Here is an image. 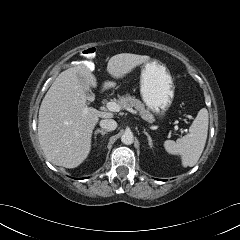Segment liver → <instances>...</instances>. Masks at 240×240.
Masks as SVG:
<instances>
[{"mask_svg": "<svg viewBox=\"0 0 240 240\" xmlns=\"http://www.w3.org/2000/svg\"><path fill=\"white\" fill-rule=\"evenodd\" d=\"M150 59L147 55L117 54L109 59L107 72L119 79ZM88 66L89 63L82 62L60 73L39 109V143L46 158L58 166H79L90 152L92 132L99 117L113 116L87 106V96L78 75L86 79L89 87H97L96 77Z\"/></svg>", "mask_w": 240, "mask_h": 240, "instance_id": "obj_1", "label": "liver"}]
</instances>
